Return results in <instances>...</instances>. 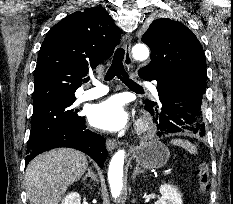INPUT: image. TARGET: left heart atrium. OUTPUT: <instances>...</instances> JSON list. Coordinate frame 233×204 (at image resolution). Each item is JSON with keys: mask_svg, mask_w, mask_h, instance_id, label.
<instances>
[{"mask_svg": "<svg viewBox=\"0 0 233 204\" xmlns=\"http://www.w3.org/2000/svg\"><path fill=\"white\" fill-rule=\"evenodd\" d=\"M88 119L97 129L117 132L127 126L129 114L123 100L118 96H112L93 105L88 113Z\"/></svg>", "mask_w": 233, "mask_h": 204, "instance_id": "left-heart-atrium-1", "label": "left heart atrium"}]
</instances>
